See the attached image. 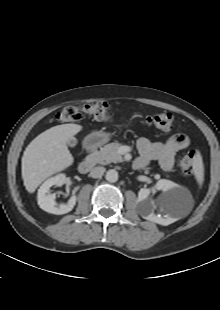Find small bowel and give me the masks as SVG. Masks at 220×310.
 <instances>
[{
  "label": "small bowel",
  "instance_id": "c3829d8e",
  "mask_svg": "<svg viewBox=\"0 0 220 310\" xmlns=\"http://www.w3.org/2000/svg\"><path fill=\"white\" fill-rule=\"evenodd\" d=\"M189 144V137L185 134L173 135L165 142H152L147 138H140L137 142L140 156L135 166L141 168L152 160H158L163 170L170 171L177 152L186 149Z\"/></svg>",
  "mask_w": 220,
  "mask_h": 310
}]
</instances>
